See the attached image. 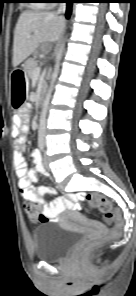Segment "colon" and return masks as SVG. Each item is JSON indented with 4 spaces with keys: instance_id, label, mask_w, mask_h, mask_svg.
<instances>
[{
    "instance_id": "obj_1",
    "label": "colon",
    "mask_w": 136,
    "mask_h": 296,
    "mask_svg": "<svg viewBox=\"0 0 136 296\" xmlns=\"http://www.w3.org/2000/svg\"><path fill=\"white\" fill-rule=\"evenodd\" d=\"M82 199L87 201L91 206L97 208L104 214L105 222L109 225H113L115 228L122 226V215L119 210L115 209L111 202L102 196L98 195H85ZM25 211L32 216L38 215L39 207L36 203L27 202L24 204ZM40 222H46L43 215H38ZM99 244V239L95 237H86L82 245L78 249V253L81 255L89 254Z\"/></svg>"
}]
</instances>
